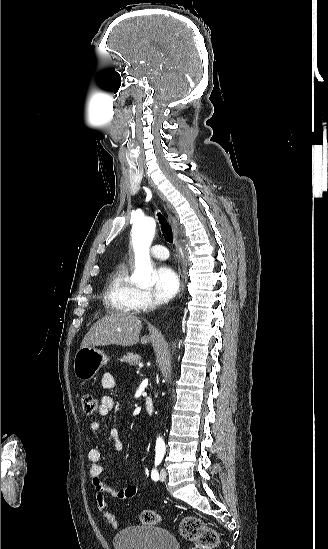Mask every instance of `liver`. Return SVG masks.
<instances>
[{
  "mask_svg": "<svg viewBox=\"0 0 328 549\" xmlns=\"http://www.w3.org/2000/svg\"><path fill=\"white\" fill-rule=\"evenodd\" d=\"M141 329L140 317L130 315V313H120V311L109 313L92 325L85 335L81 347H104V345L132 347L138 343ZM140 341L141 345H147V343H151V337L144 335Z\"/></svg>",
  "mask_w": 328,
  "mask_h": 549,
  "instance_id": "6515ba94",
  "label": "liver"
}]
</instances>
